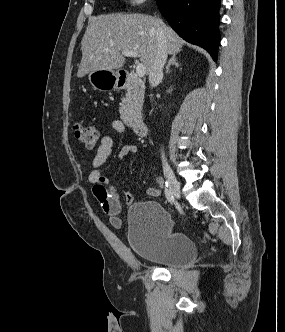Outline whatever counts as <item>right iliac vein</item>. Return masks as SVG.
Returning <instances> with one entry per match:
<instances>
[{
    "label": "right iliac vein",
    "instance_id": "63e3f726",
    "mask_svg": "<svg viewBox=\"0 0 285 332\" xmlns=\"http://www.w3.org/2000/svg\"><path fill=\"white\" fill-rule=\"evenodd\" d=\"M164 174L167 178L168 184H169V188L172 192V194L174 195V197L176 199H180L181 197V192H180V187H179V183L175 177V175L173 174L172 170L170 167L165 166L164 167Z\"/></svg>",
    "mask_w": 285,
    "mask_h": 332
}]
</instances>
